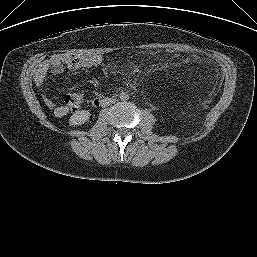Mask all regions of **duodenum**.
<instances>
[{
    "instance_id": "1",
    "label": "duodenum",
    "mask_w": 257,
    "mask_h": 257,
    "mask_svg": "<svg viewBox=\"0 0 257 257\" xmlns=\"http://www.w3.org/2000/svg\"><path fill=\"white\" fill-rule=\"evenodd\" d=\"M109 100H110L109 97L100 95V96L96 97L95 100L93 101V106L100 107L101 105L107 103Z\"/></svg>"
}]
</instances>
